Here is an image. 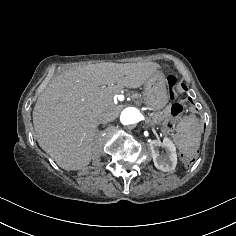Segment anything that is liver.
<instances>
[{"instance_id":"obj_1","label":"liver","mask_w":236,"mask_h":236,"mask_svg":"<svg viewBox=\"0 0 236 236\" xmlns=\"http://www.w3.org/2000/svg\"><path fill=\"white\" fill-rule=\"evenodd\" d=\"M161 68L150 61L102 62L53 77L32 113L39 147L63 170L87 167L99 126L118 116L114 97L124 88H141Z\"/></svg>"}]
</instances>
